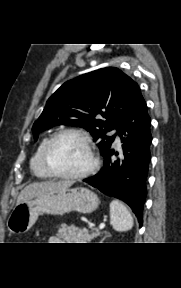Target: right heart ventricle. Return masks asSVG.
I'll list each match as a JSON object with an SVG mask.
<instances>
[{
  "label": "right heart ventricle",
  "mask_w": 181,
  "mask_h": 288,
  "mask_svg": "<svg viewBox=\"0 0 181 288\" xmlns=\"http://www.w3.org/2000/svg\"><path fill=\"white\" fill-rule=\"evenodd\" d=\"M50 137H45L39 144L30 161L32 173L39 179H52L54 176L46 169L43 163V151Z\"/></svg>",
  "instance_id": "1"
}]
</instances>
